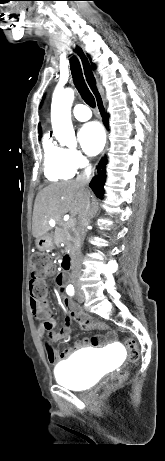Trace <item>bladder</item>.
Instances as JSON below:
<instances>
[{"label": "bladder", "instance_id": "1", "mask_svg": "<svg viewBox=\"0 0 165 461\" xmlns=\"http://www.w3.org/2000/svg\"><path fill=\"white\" fill-rule=\"evenodd\" d=\"M106 360L98 361L91 358L89 352H79L74 356L59 362L54 368L56 381L74 390L91 387L104 373Z\"/></svg>", "mask_w": 165, "mask_h": 461}]
</instances>
